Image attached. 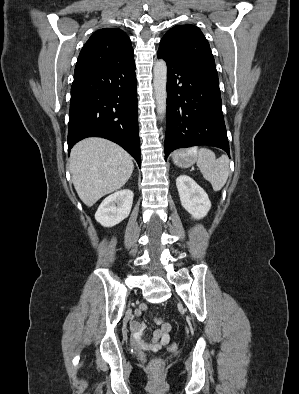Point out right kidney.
I'll list each match as a JSON object with an SVG mask.
<instances>
[{"label": "right kidney", "mask_w": 299, "mask_h": 394, "mask_svg": "<svg viewBox=\"0 0 299 394\" xmlns=\"http://www.w3.org/2000/svg\"><path fill=\"white\" fill-rule=\"evenodd\" d=\"M132 203L133 192L130 189L117 191L102 201L95 219L104 227H112L129 216Z\"/></svg>", "instance_id": "right-kidney-1"}]
</instances>
